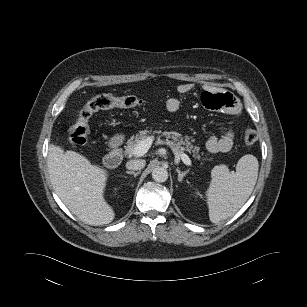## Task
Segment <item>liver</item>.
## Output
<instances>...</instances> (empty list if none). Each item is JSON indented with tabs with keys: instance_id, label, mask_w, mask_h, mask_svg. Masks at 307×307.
I'll return each instance as SVG.
<instances>
[{
	"instance_id": "obj_1",
	"label": "liver",
	"mask_w": 307,
	"mask_h": 307,
	"mask_svg": "<svg viewBox=\"0 0 307 307\" xmlns=\"http://www.w3.org/2000/svg\"><path fill=\"white\" fill-rule=\"evenodd\" d=\"M47 166L55 193L78 219L94 226L113 221L115 213L103 196L105 169L54 144L49 145Z\"/></svg>"
}]
</instances>
